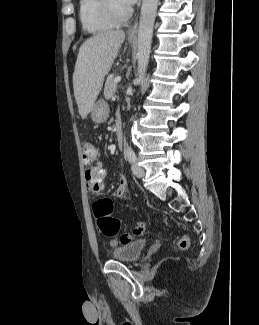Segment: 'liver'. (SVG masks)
Listing matches in <instances>:
<instances>
[{
  "mask_svg": "<svg viewBox=\"0 0 259 325\" xmlns=\"http://www.w3.org/2000/svg\"><path fill=\"white\" fill-rule=\"evenodd\" d=\"M124 39L123 31L111 30L97 33L81 45L73 74V89L82 119L92 110Z\"/></svg>",
  "mask_w": 259,
  "mask_h": 325,
  "instance_id": "6515ba94",
  "label": "liver"
}]
</instances>
